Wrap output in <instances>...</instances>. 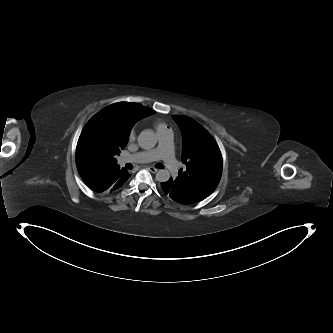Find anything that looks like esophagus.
<instances>
[{
	"label": "esophagus",
	"mask_w": 333,
	"mask_h": 333,
	"mask_svg": "<svg viewBox=\"0 0 333 333\" xmlns=\"http://www.w3.org/2000/svg\"><path fill=\"white\" fill-rule=\"evenodd\" d=\"M148 170H149L150 172H152V173H156V172H158V169L155 168V167H152V166H149V167H148Z\"/></svg>",
	"instance_id": "34e87169"
}]
</instances>
